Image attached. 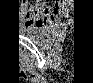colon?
<instances>
[{
  "instance_id": "obj_1",
  "label": "colon",
  "mask_w": 93,
  "mask_h": 83,
  "mask_svg": "<svg viewBox=\"0 0 93 83\" xmlns=\"http://www.w3.org/2000/svg\"><path fill=\"white\" fill-rule=\"evenodd\" d=\"M28 6L24 9L25 18L33 24L48 25L55 22L62 13L68 10L69 2H56L57 6H41L40 1H27Z\"/></svg>"
}]
</instances>
